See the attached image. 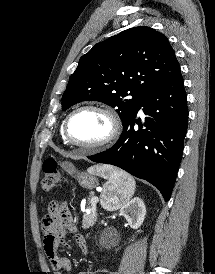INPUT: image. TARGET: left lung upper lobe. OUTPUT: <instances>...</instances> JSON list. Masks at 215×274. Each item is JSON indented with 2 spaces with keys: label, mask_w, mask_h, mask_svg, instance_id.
I'll return each mask as SVG.
<instances>
[{
  "label": "left lung upper lobe",
  "mask_w": 215,
  "mask_h": 274,
  "mask_svg": "<svg viewBox=\"0 0 215 274\" xmlns=\"http://www.w3.org/2000/svg\"><path fill=\"white\" fill-rule=\"evenodd\" d=\"M179 70L162 33L146 26L130 28L97 43L80 58L63 94L62 109L86 100L100 101L118 107L123 123L149 91Z\"/></svg>",
  "instance_id": "left-lung-upper-lobe-1"
}]
</instances>
